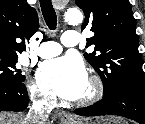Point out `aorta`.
<instances>
[{
	"label": "aorta",
	"instance_id": "1",
	"mask_svg": "<svg viewBox=\"0 0 145 124\" xmlns=\"http://www.w3.org/2000/svg\"><path fill=\"white\" fill-rule=\"evenodd\" d=\"M65 19L70 25H76L82 22L83 15L77 9H69L65 13Z\"/></svg>",
	"mask_w": 145,
	"mask_h": 124
}]
</instances>
